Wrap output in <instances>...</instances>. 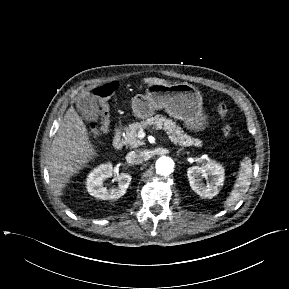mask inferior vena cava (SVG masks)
I'll use <instances>...</instances> for the list:
<instances>
[{
  "mask_svg": "<svg viewBox=\"0 0 289 289\" xmlns=\"http://www.w3.org/2000/svg\"><path fill=\"white\" fill-rule=\"evenodd\" d=\"M149 159V155L144 150L137 149L135 151H131L126 155V160L130 164H140Z\"/></svg>",
  "mask_w": 289,
  "mask_h": 289,
  "instance_id": "obj_1",
  "label": "inferior vena cava"
}]
</instances>
